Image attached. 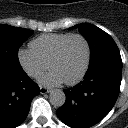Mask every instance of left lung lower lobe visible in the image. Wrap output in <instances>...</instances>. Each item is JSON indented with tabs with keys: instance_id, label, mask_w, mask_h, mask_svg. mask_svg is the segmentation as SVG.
Returning a JSON list of instances; mask_svg holds the SVG:
<instances>
[{
	"instance_id": "1",
	"label": "left lung lower lobe",
	"mask_w": 128,
	"mask_h": 128,
	"mask_svg": "<svg viewBox=\"0 0 128 128\" xmlns=\"http://www.w3.org/2000/svg\"><path fill=\"white\" fill-rule=\"evenodd\" d=\"M122 79L120 54L98 58L89 64L84 80L65 89V104L56 113L71 128H88L100 122L113 108Z\"/></svg>"
}]
</instances>
